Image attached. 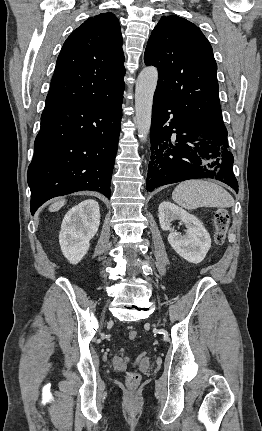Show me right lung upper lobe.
<instances>
[{
  "label": "right lung upper lobe",
  "mask_w": 262,
  "mask_h": 431,
  "mask_svg": "<svg viewBox=\"0 0 262 431\" xmlns=\"http://www.w3.org/2000/svg\"><path fill=\"white\" fill-rule=\"evenodd\" d=\"M120 24L112 13L86 20L65 41L46 105L96 104L116 98L125 87Z\"/></svg>",
  "instance_id": "right-lung-upper-lobe-1"
}]
</instances>
